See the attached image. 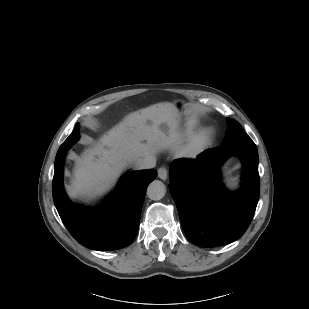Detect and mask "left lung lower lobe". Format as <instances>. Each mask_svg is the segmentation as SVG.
I'll list each match as a JSON object with an SVG mask.
<instances>
[{
  "instance_id": "1",
  "label": "left lung lower lobe",
  "mask_w": 309,
  "mask_h": 309,
  "mask_svg": "<svg viewBox=\"0 0 309 309\" xmlns=\"http://www.w3.org/2000/svg\"><path fill=\"white\" fill-rule=\"evenodd\" d=\"M231 155L244 166L242 188L227 192L219 169ZM170 190L187 237L201 247H217L239 239L247 230L259 199L258 152L253 141L206 150L196 159L170 164Z\"/></svg>"
}]
</instances>
